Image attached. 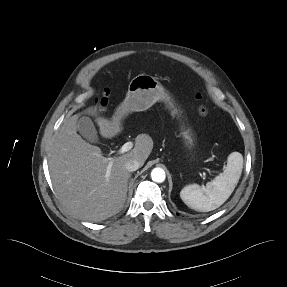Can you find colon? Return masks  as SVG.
Segmentation results:
<instances>
[{"label":"colon","instance_id":"5ec220e1","mask_svg":"<svg viewBox=\"0 0 287 287\" xmlns=\"http://www.w3.org/2000/svg\"><path fill=\"white\" fill-rule=\"evenodd\" d=\"M108 100H109V92L107 91L101 92L97 98V105L100 108H105L108 104ZM197 112L199 115L204 116L207 113V109L205 106L200 105L197 109Z\"/></svg>","mask_w":287,"mask_h":287}]
</instances>
